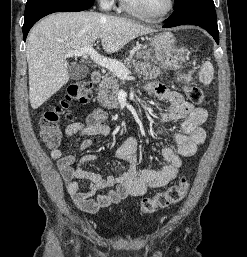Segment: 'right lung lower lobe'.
Masks as SVG:
<instances>
[{"label": "right lung lower lobe", "instance_id": "1", "mask_svg": "<svg viewBox=\"0 0 247 257\" xmlns=\"http://www.w3.org/2000/svg\"><path fill=\"white\" fill-rule=\"evenodd\" d=\"M94 0H28L25 8L23 39L42 17L54 12H78L90 8Z\"/></svg>", "mask_w": 247, "mask_h": 257}]
</instances>
